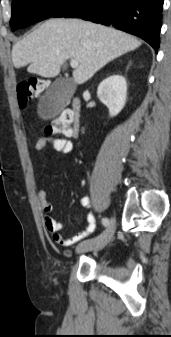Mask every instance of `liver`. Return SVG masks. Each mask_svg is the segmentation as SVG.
<instances>
[{"mask_svg":"<svg viewBox=\"0 0 171 337\" xmlns=\"http://www.w3.org/2000/svg\"><path fill=\"white\" fill-rule=\"evenodd\" d=\"M140 45L137 38L111 27L80 19H49L13 45L12 62L17 69L28 65L29 73L51 78L59 75L66 59L76 60L73 79L83 84Z\"/></svg>","mask_w":171,"mask_h":337,"instance_id":"liver-1","label":"liver"}]
</instances>
